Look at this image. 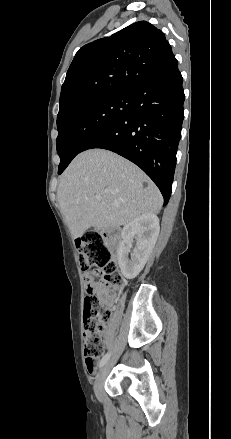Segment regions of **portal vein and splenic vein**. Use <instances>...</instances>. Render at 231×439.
<instances>
[{
	"mask_svg": "<svg viewBox=\"0 0 231 439\" xmlns=\"http://www.w3.org/2000/svg\"><path fill=\"white\" fill-rule=\"evenodd\" d=\"M101 198H102V197H101L100 195H97V196H96V199H98V200H101Z\"/></svg>",
	"mask_w": 231,
	"mask_h": 439,
	"instance_id": "1",
	"label": "portal vein and splenic vein"
}]
</instances>
